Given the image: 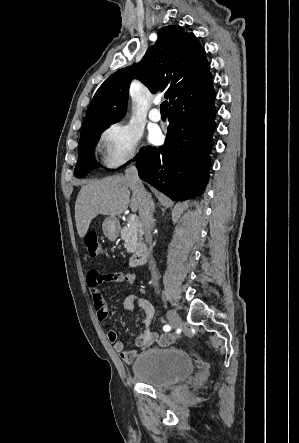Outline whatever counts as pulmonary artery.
Listing matches in <instances>:
<instances>
[{
  "label": "pulmonary artery",
  "instance_id": "1",
  "mask_svg": "<svg viewBox=\"0 0 299 443\" xmlns=\"http://www.w3.org/2000/svg\"><path fill=\"white\" fill-rule=\"evenodd\" d=\"M154 104L155 106L159 104L158 100H154ZM149 118L154 121V122H158L161 119V114L159 112V110L157 108H153L150 110L149 112Z\"/></svg>",
  "mask_w": 299,
  "mask_h": 443
}]
</instances>
